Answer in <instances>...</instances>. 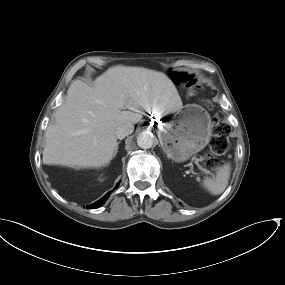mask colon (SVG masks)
I'll return each instance as SVG.
<instances>
[{"mask_svg": "<svg viewBox=\"0 0 285 285\" xmlns=\"http://www.w3.org/2000/svg\"><path fill=\"white\" fill-rule=\"evenodd\" d=\"M183 74L174 73V82L178 83ZM203 105L211 108L209 101L204 100ZM230 126L220 117L214 119V134L210 140L209 152L201 159V164L208 169H214L218 165L217 156L224 154L228 150L227 135Z\"/></svg>", "mask_w": 285, "mask_h": 285, "instance_id": "colon-1", "label": "colon"}]
</instances>
